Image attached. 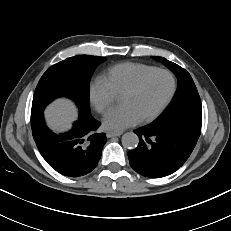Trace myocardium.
Returning <instances> with one entry per match:
<instances>
[{"label":"myocardium","instance_id":"1","mask_svg":"<svg viewBox=\"0 0 231 231\" xmlns=\"http://www.w3.org/2000/svg\"><path fill=\"white\" fill-rule=\"evenodd\" d=\"M156 73H165L167 75L170 76L171 80H172V87L171 90L168 94V96L166 97V99L163 101V103L150 115H147L143 118H141L139 121L141 123H147L150 122L152 120H154L155 118H157L162 112L163 110L168 106V104L171 102V100L173 99L175 93H176V89H177V81L176 78L174 76V74L167 70V69H163V68H156L146 74H144L143 76H141L136 82H134L123 94V96L126 95H130L133 94L135 92H137L142 85L154 74Z\"/></svg>","mask_w":231,"mask_h":231}]
</instances>
